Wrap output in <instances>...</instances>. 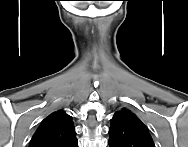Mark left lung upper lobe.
Returning <instances> with one entry per match:
<instances>
[{"label": "left lung upper lobe", "mask_w": 188, "mask_h": 147, "mask_svg": "<svg viewBox=\"0 0 188 147\" xmlns=\"http://www.w3.org/2000/svg\"><path fill=\"white\" fill-rule=\"evenodd\" d=\"M109 135L110 147H155L148 128L126 108L113 115Z\"/></svg>", "instance_id": "5c2ea615"}]
</instances>
